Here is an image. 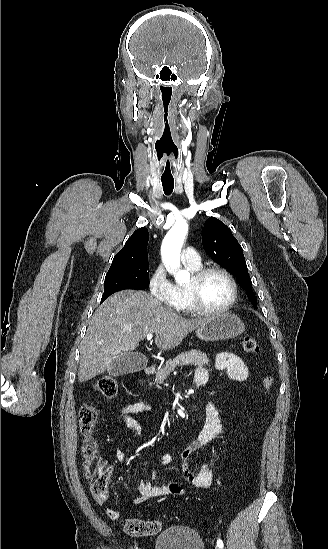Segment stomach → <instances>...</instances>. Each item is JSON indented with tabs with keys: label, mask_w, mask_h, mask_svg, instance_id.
<instances>
[{
	"label": "stomach",
	"mask_w": 328,
	"mask_h": 549,
	"mask_svg": "<svg viewBox=\"0 0 328 549\" xmlns=\"http://www.w3.org/2000/svg\"><path fill=\"white\" fill-rule=\"evenodd\" d=\"M245 331V325L241 319L224 311V313H215L212 317H207L205 323L198 327L196 337L201 341H225V339H235Z\"/></svg>",
	"instance_id": "1"
}]
</instances>
